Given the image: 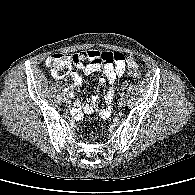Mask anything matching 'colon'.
I'll return each mask as SVG.
<instances>
[{"label":"colon","instance_id":"1","mask_svg":"<svg viewBox=\"0 0 195 195\" xmlns=\"http://www.w3.org/2000/svg\"><path fill=\"white\" fill-rule=\"evenodd\" d=\"M47 66L52 71L53 75L62 78L69 74L72 64V59L70 55L55 53L47 58ZM128 74L133 78H139L140 73L137 67L128 66Z\"/></svg>","mask_w":195,"mask_h":195}]
</instances>
